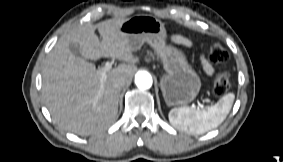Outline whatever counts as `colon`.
Returning a JSON list of instances; mask_svg holds the SVG:
<instances>
[{
	"instance_id": "1",
	"label": "colon",
	"mask_w": 283,
	"mask_h": 162,
	"mask_svg": "<svg viewBox=\"0 0 283 162\" xmlns=\"http://www.w3.org/2000/svg\"><path fill=\"white\" fill-rule=\"evenodd\" d=\"M210 60L215 64L225 63L228 58V52L220 43H213L210 47ZM231 88V75L228 71L218 73L213 81V92L216 96L225 95Z\"/></svg>"
}]
</instances>
